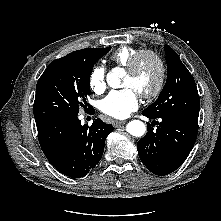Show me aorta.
Returning a JSON list of instances; mask_svg holds the SVG:
<instances>
[{
    "label": "aorta",
    "instance_id": "1",
    "mask_svg": "<svg viewBox=\"0 0 221 221\" xmlns=\"http://www.w3.org/2000/svg\"><path fill=\"white\" fill-rule=\"evenodd\" d=\"M107 83L112 88L120 86V70L115 68L107 74ZM126 131L135 137H141L146 131V127L142 121L132 120L126 126Z\"/></svg>",
    "mask_w": 221,
    "mask_h": 221
}]
</instances>
